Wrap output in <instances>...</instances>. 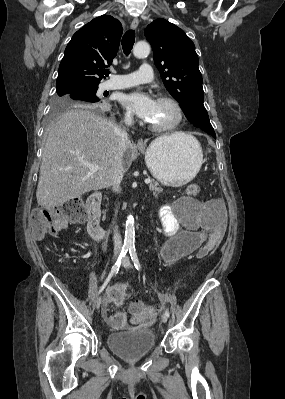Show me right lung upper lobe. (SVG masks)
I'll return each mask as SVG.
<instances>
[{"label":"right lung upper lobe","mask_w":285,"mask_h":399,"mask_svg":"<svg viewBox=\"0 0 285 399\" xmlns=\"http://www.w3.org/2000/svg\"><path fill=\"white\" fill-rule=\"evenodd\" d=\"M123 28L119 20L102 15L78 30L59 66L56 91L98 87L104 68L112 64Z\"/></svg>","instance_id":"cb5924a9"}]
</instances>
